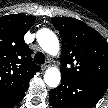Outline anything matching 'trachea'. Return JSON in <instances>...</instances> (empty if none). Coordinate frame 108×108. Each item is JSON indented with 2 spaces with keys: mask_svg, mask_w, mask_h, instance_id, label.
Instances as JSON below:
<instances>
[{
  "mask_svg": "<svg viewBox=\"0 0 108 108\" xmlns=\"http://www.w3.org/2000/svg\"><path fill=\"white\" fill-rule=\"evenodd\" d=\"M34 62L36 64H44L45 63V56L42 52H38L36 53L35 57H34Z\"/></svg>",
  "mask_w": 108,
  "mask_h": 108,
  "instance_id": "1",
  "label": "trachea"
}]
</instances>
